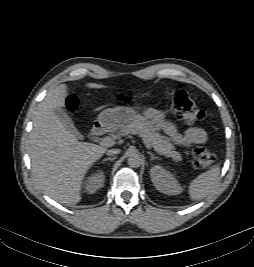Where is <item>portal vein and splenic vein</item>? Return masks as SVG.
<instances>
[{"mask_svg":"<svg viewBox=\"0 0 254 267\" xmlns=\"http://www.w3.org/2000/svg\"><path fill=\"white\" fill-rule=\"evenodd\" d=\"M101 144L104 146H113L115 144V141H114V139H112L110 137H105V138H102ZM144 144L147 148H151V145L149 143H147L146 141H144Z\"/></svg>","mask_w":254,"mask_h":267,"instance_id":"portal-vein-and-splenic-vein-1","label":"portal vein and splenic vein"}]
</instances>
